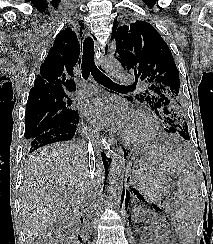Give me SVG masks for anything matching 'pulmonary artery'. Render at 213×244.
<instances>
[{
	"mask_svg": "<svg viewBox=\"0 0 213 244\" xmlns=\"http://www.w3.org/2000/svg\"><path fill=\"white\" fill-rule=\"evenodd\" d=\"M119 81L121 83H129L132 81V76L128 74H122L119 76ZM97 92V87L92 84L84 83L78 91L80 97H87L95 94Z\"/></svg>",
	"mask_w": 213,
	"mask_h": 244,
	"instance_id": "pulmonary-artery-1",
	"label": "pulmonary artery"
}]
</instances>
